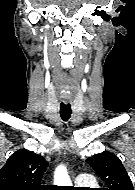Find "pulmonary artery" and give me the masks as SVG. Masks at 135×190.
Segmentation results:
<instances>
[{
	"label": "pulmonary artery",
	"mask_w": 135,
	"mask_h": 190,
	"mask_svg": "<svg viewBox=\"0 0 135 190\" xmlns=\"http://www.w3.org/2000/svg\"><path fill=\"white\" fill-rule=\"evenodd\" d=\"M92 182H93L92 176L86 173H80L75 178V183L77 185H90Z\"/></svg>",
	"instance_id": "pulmonary-artery-1"
}]
</instances>
